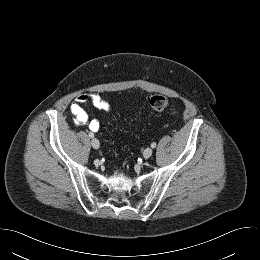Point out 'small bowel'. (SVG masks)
Returning <instances> with one entry per match:
<instances>
[{
  "label": "small bowel",
  "mask_w": 260,
  "mask_h": 260,
  "mask_svg": "<svg viewBox=\"0 0 260 260\" xmlns=\"http://www.w3.org/2000/svg\"><path fill=\"white\" fill-rule=\"evenodd\" d=\"M85 103H91L94 107L103 111H110L111 105L96 92L79 94L70 104L73 123L77 126H88L91 131L97 132L100 124L95 119H89L83 108Z\"/></svg>",
  "instance_id": "1"
}]
</instances>
